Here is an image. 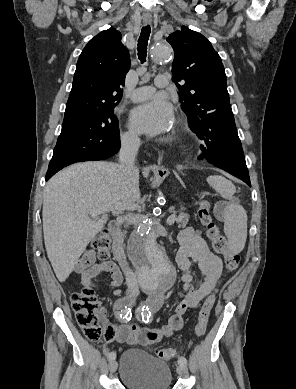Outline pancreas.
<instances>
[{"label": "pancreas", "mask_w": 296, "mask_h": 389, "mask_svg": "<svg viewBox=\"0 0 296 389\" xmlns=\"http://www.w3.org/2000/svg\"><path fill=\"white\" fill-rule=\"evenodd\" d=\"M170 212H173L174 214L176 213L175 211H174V208L173 207H171L170 209ZM189 214H187V213H183V212H179L178 213V216H177V218H176V223L178 224V227L179 228H184V227H186L187 226V224H188V222H189Z\"/></svg>", "instance_id": "cf45deb5"}]
</instances>
